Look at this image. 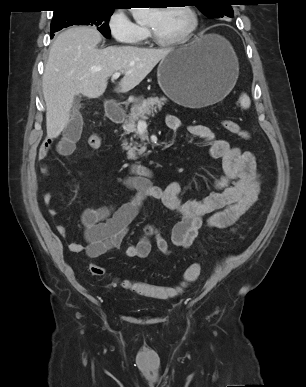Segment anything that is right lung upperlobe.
I'll return each mask as SVG.
<instances>
[{
	"label": "right lung upper lobe",
	"mask_w": 306,
	"mask_h": 387,
	"mask_svg": "<svg viewBox=\"0 0 306 387\" xmlns=\"http://www.w3.org/2000/svg\"><path fill=\"white\" fill-rule=\"evenodd\" d=\"M58 6L54 14L60 13L68 8L76 7H106L114 9L116 0H57Z\"/></svg>",
	"instance_id": "obj_1"
}]
</instances>
